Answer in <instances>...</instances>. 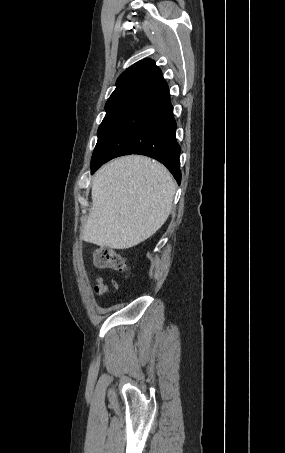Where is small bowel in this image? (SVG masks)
<instances>
[{
  "label": "small bowel",
  "mask_w": 285,
  "mask_h": 453,
  "mask_svg": "<svg viewBox=\"0 0 285 453\" xmlns=\"http://www.w3.org/2000/svg\"><path fill=\"white\" fill-rule=\"evenodd\" d=\"M108 291V284L101 278L96 277V284L94 287V293L97 296H102Z\"/></svg>",
  "instance_id": "small-bowel-1"
}]
</instances>
